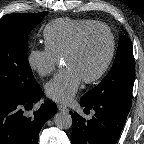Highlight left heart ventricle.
<instances>
[{
  "mask_svg": "<svg viewBox=\"0 0 144 144\" xmlns=\"http://www.w3.org/2000/svg\"><path fill=\"white\" fill-rule=\"evenodd\" d=\"M110 49L107 32L97 29L88 33L79 48L66 59L64 65L75 68L83 79L92 77L103 66Z\"/></svg>",
  "mask_w": 144,
  "mask_h": 144,
  "instance_id": "left-heart-ventricle-1",
  "label": "left heart ventricle"
}]
</instances>
